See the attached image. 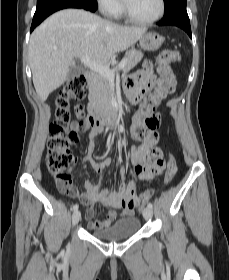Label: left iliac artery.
I'll return each mask as SVG.
<instances>
[{"label": "left iliac artery", "instance_id": "left-iliac-artery-1", "mask_svg": "<svg viewBox=\"0 0 229 280\" xmlns=\"http://www.w3.org/2000/svg\"><path fill=\"white\" fill-rule=\"evenodd\" d=\"M148 207L152 209L153 207L152 203H148Z\"/></svg>", "mask_w": 229, "mask_h": 280}]
</instances>
